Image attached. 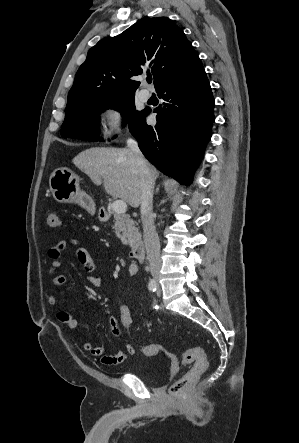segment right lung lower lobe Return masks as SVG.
Returning <instances> with one entry per match:
<instances>
[{
    "instance_id": "obj_1",
    "label": "right lung lower lobe",
    "mask_w": 299,
    "mask_h": 443,
    "mask_svg": "<svg viewBox=\"0 0 299 443\" xmlns=\"http://www.w3.org/2000/svg\"><path fill=\"white\" fill-rule=\"evenodd\" d=\"M165 102L154 110L155 126L145 122L144 109L129 123L145 157L165 175L189 184L211 137L214 98L203 67L174 78L157 89Z\"/></svg>"
}]
</instances>
